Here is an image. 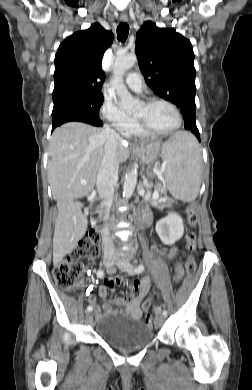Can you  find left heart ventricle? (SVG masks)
<instances>
[{"mask_svg":"<svg viewBox=\"0 0 252 390\" xmlns=\"http://www.w3.org/2000/svg\"><path fill=\"white\" fill-rule=\"evenodd\" d=\"M135 117L157 131L168 130L176 123L174 111L164 103H157L149 108L142 104Z\"/></svg>","mask_w":252,"mask_h":390,"instance_id":"1","label":"left heart ventricle"}]
</instances>
